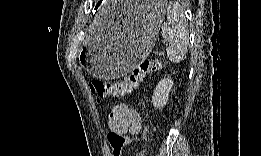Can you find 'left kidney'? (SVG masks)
<instances>
[{
	"label": "left kidney",
	"mask_w": 261,
	"mask_h": 156,
	"mask_svg": "<svg viewBox=\"0 0 261 156\" xmlns=\"http://www.w3.org/2000/svg\"><path fill=\"white\" fill-rule=\"evenodd\" d=\"M173 84L174 82L169 77L159 81L152 96V103L155 108L160 109L166 105Z\"/></svg>",
	"instance_id": "5707ae66"
}]
</instances>
